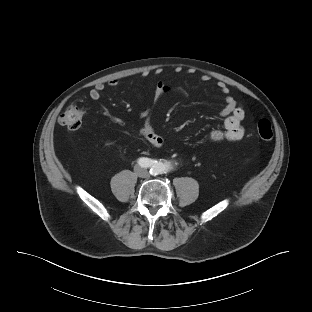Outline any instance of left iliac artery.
I'll return each instance as SVG.
<instances>
[{
    "label": "left iliac artery",
    "instance_id": "44dca946",
    "mask_svg": "<svg viewBox=\"0 0 312 312\" xmlns=\"http://www.w3.org/2000/svg\"><path fill=\"white\" fill-rule=\"evenodd\" d=\"M154 162L157 163V161H154ZM155 163H154V164H155ZM155 165H156V164H155ZM153 167H154V168H153V172H154V170L156 169L157 166H153ZM151 171H152V169H151ZM151 171H150V172H151Z\"/></svg>",
    "mask_w": 312,
    "mask_h": 312
}]
</instances>
